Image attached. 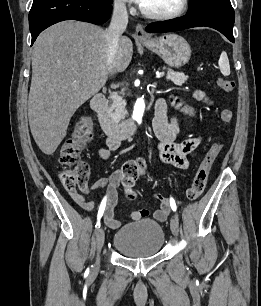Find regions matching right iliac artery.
Wrapping results in <instances>:
<instances>
[{
    "label": "right iliac artery",
    "mask_w": 261,
    "mask_h": 306,
    "mask_svg": "<svg viewBox=\"0 0 261 306\" xmlns=\"http://www.w3.org/2000/svg\"><path fill=\"white\" fill-rule=\"evenodd\" d=\"M105 204H106V198H104V199L102 200L101 205H100V208H99V211H98L97 222H96V226H95L97 229L100 228V225H101L100 219H101V217H102V215H103V211H104V208H105Z\"/></svg>",
    "instance_id": "right-iliac-artery-1"
}]
</instances>
